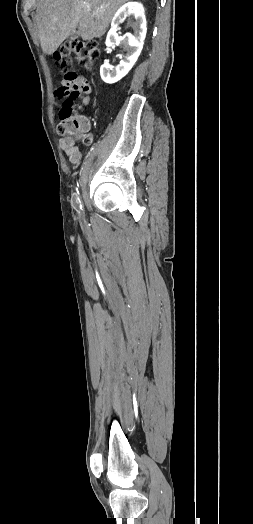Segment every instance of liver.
<instances>
[{"instance_id": "1", "label": "liver", "mask_w": 253, "mask_h": 524, "mask_svg": "<svg viewBox=\"0 0 253 524\" xmlns=\"http://www.w3.org/2000/svg\"><path fill=\"white\" fill-rule=\"evenodd\" d=\"M126 2L128 0H38L35 21L43 52L53 54L73 32L86 41L101 37L118 8ZM86 5L90 11L85 9Z\"/></svg>"}]
</instances>
